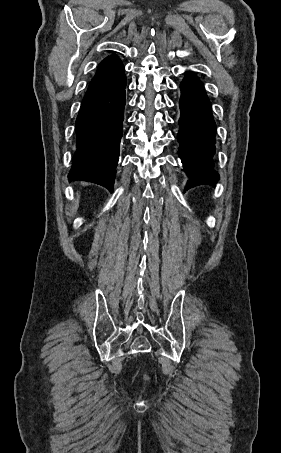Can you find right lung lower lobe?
Masks as SVG:
<instances>
[{
    "mask_svg": "<svg viewBox=\"0 0 281 453\" xmlns=\"http://www.w3.org/2000/svg\"><path fill=\"white\" fill-rule=\"evenodd\" d=\"M124 65L113 55L98 66L76 120L77 150L69 180L89 181L113 190L124 119Z\"/></svg>",
    "mask_w": 281,
    "mask_h": 453,
    "instance_id": "obj_1",
    "label": "right lung lower lobe"
}]
</instances>
